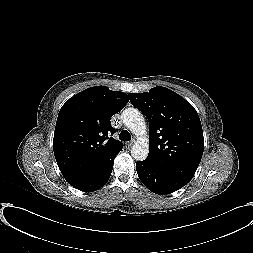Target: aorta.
<instances>
[{
  "label": "aorta",
  "instance_id": "obj_1",
  "mask_svg": "<svg viewBox=\"0 0 253 253\" xmlns=\"http://www.w3.org/2000/svg\"><path fill=\"white\" fill-rule=\"evenodd\" d=\"M123 123L138 138L131 149V155L136 161H143L149 153L147 126L142 113L136 108H127L122 113Z\"/></svg>",
  "mask_w": 253,
  "mask_h": 253
}]
</instances>
